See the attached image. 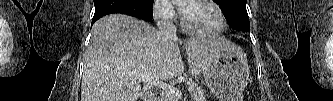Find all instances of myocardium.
Instances as JSON below:
<instances>
[{"label":"myocardium","mask_w":333,"mask_h":101,"mask_svg":"<svg viewBox=\"0 0 333 101\" xmlns=\"http://www.w3.org/2000/svg\"><path fill=\"white\" fill-rule=\"evenodd\" d=\"M189 2H203V3H206L209 6H211L215 10V12L217 13V15L219 17V26L215 31L209 32V33L195 31L194 29H192L188 25L186 17H185L184 12H183V8H182V11H181V26H182L184 31H186L187 33H189L193 36L204 37V38L219 36L224 31L225 25H226L225 16H224L223 11L221 10V8L215 2H213L211 0H193V1H189Z\"/></svg>","instance_id":"myocardium-1"}]
</instances>
